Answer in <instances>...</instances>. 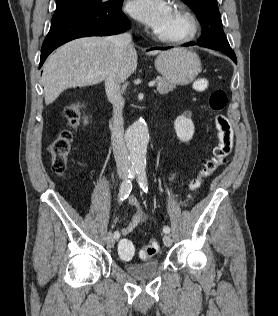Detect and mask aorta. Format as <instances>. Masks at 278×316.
Returning a JSON list of instances; mask_svg holds the SVG:
<instances>
[{
    "label": "aorta",
    "instance_id": "obj_1",
    "mask_svg": "<svg viewBox=\"0 0 278 316\" xmlns=\"http://www.w3.org/2000/svg\"><path fill=\"white\" fill-rule=\"evenodd\" d=\"M125 141L132 168L136 171H144L149 142L148 127L144 119H138L127 129Z\"/></svg>",
    "mask_w": 278,
    "mask_h": 316
}]
</instances>
